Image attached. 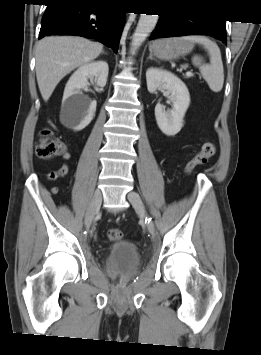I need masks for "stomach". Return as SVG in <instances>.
Masks as SVG:
<instances>
[{"label":"stomach","mask_w":261,"mask_h":355,"mask_svg":"<svg viewBox=\"0 0 261 355\" xmlns=\"http://www.w3.org/2000/svg\"><path fill=\"white\" fill-rule=\"evenodd\" d=\"M194 45L181 38L159 39L149 46L150 53L161 60H174L192 51Z\"/></svg>","instance_id":"stomach-1"}]
</instances>
